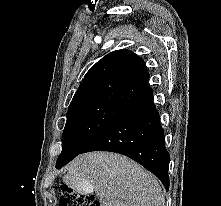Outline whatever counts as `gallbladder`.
<instances>
[{"mask_svg":"<svg viewBox=\"0 0 221 206\" xmlns=\"http://www.w3.org/2000/svg\"><path fill=\"white\" fill-rule=\"evenodd\" d=\"M65 185L69 186V190H74V194H91L92 192L88 181H66Z\"/></svg>","mask_w":221,"mask_h":206,"instance_id":"obj_1","label":"gallbladder"}]
</instances>
